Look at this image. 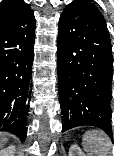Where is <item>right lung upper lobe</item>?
<instances>
[{"label":"right lung upper lobe","instance_id":"obj_1","mask_svg":"<svg viewBox=\"0 0 114 156\" xmlns=\"http://www.w3.org/2000/svg\"><path fill=\"white\" fill-rule=\"evenodd\" d=\"M29 9V5L22 0H4L0 3V24Z\"/></svg>","mask_w":114,"mask_h":156}]
</instances>
